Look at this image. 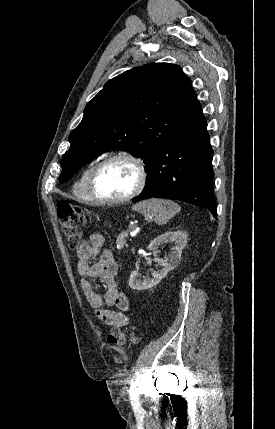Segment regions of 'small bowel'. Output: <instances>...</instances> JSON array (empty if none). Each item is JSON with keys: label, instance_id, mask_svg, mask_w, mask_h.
Returning <instances> with one entry per match:
<instances>
[{"label": "small bowel", "instance_id": "small-bowel-1", "mask_svg": "<svg viewBox=\"0 0 275 429\" xmlns=\"http://www.w3.org/2000/svg\"><path fill=\"white\" fill-rule=\"evenodd\" d=\"M103 243L104 236L100 232H94L78 248L77 270L83 277L81 287L94 315L100 321L107 325L125 326L129 322L126 313L130 309V302L115 280L118 266L112 252H101ZM98 255V262L91 264V260ZM95 278H99L106 286L104 297L97 294L93 288L91 280ZM113 306L116 310L109 308Z\"/></svg>", "mask_w": 275, "mask_h": 429}]
</instances>
